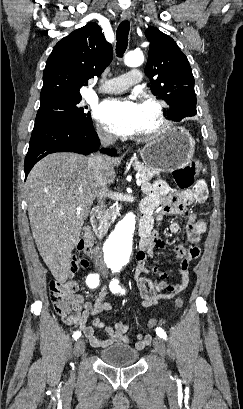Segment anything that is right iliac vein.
<instances>
[{
  "mask_svg": "<svg viewBox=\"0 0 243 409\" xmlns=\"http://www.w3.org/2000/svg\"><path fill=\"white\" fill-rule=\"evenodd\" d=\"M85 350V341L83 339H78L74 345V354L76 357L80 356Z\"/></svg>",
  "mask_w": 243,
  "mask_h": 409,
  "instance_id": "1",
  "label": "right iliac vein"
}]
</instances>
